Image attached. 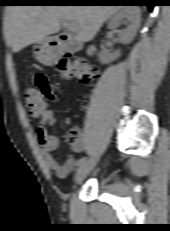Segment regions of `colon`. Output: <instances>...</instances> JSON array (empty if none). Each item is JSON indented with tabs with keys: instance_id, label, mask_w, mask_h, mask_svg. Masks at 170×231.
<instances>
[{
	"instance_id": "colon-1",
	"label": "colon",
	"mask_w": 170,
	"mask_h": 231,
	"mask_svg": "<svg viewBox=\"0 0 170 231\" xmlns=\"http://www.w3.org/2000/svg\"><path fill=\"white\" fill-rule=\"evenodd\" d=\"M56 70L62 78L75 77L86 84L94 81L99 75L97 67L91 65L86 59L71 55L62 57L56 66ZM24 98L32 116L38 117L46 109L45 96L39 89L34 87L25 88ZM79 135L80 132L76 128L69 131L71 140L76 139Z\"/></svg>"
}]
</instances>
